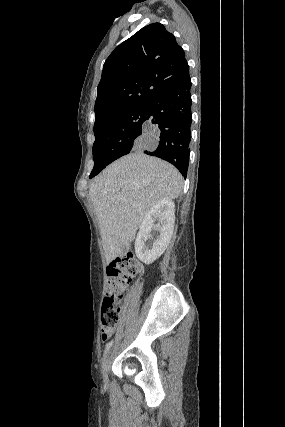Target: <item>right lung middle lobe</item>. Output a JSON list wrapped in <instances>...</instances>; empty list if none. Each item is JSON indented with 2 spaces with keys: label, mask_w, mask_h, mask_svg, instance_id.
Instances as JSON below:
<instances>
[{
  "label": "right lung middle lobe",
  "mask_w": 285,
  "mask_h": 427,
  "mask_svg": "<svg viewBox=\"0 0 285 427\" xmlns=\"http://www.w3.org/2000/svg\"><path fill=\"white\" fill-rule=\"evenodd\" d=\"M147 104L120 112L94 127V168L89 178L97 175L108 164L128 154L141 143Z\"/></svg>",
  "instance_id": "right-lung-middle-lobe-1"
}]
</instances>
